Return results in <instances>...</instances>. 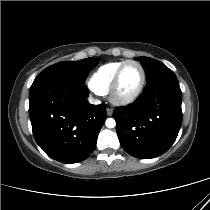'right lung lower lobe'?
Masks as SVG:
<instances>
[{
  "label": "right lung lower lobe",
  "instance_id": "98d812e1",
  "mask_svg": "<svg viewBox=\"0 0 210 210\" xmlns=\"http://www.w3.org/2000/svg\"><path fill=\"white\" fill-rule=\"evenodd\" d=\"M84 84L61 79L34 81L29 115L37 144L51 158L77 163L93 152L107 117L104 105L87 101Z\"/></svg>",
  "mask_w": 210,
  "mask_h": 210
}]
</instances>
